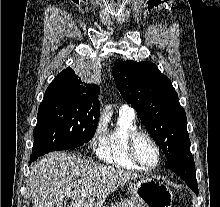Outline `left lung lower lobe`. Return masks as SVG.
<instances>
[{
  "label": "left lung lower lobe",
  "mask_w": 220,
  "mask_h": 207,
  "mask_svg": "<svg viewBox=\"0 0 220 207\" xmlns=\"http://www.w3.org/2000/svg\"><path fill=\"white\" fill-rule=\"evenodd\" d=\"M166 166L175 173L179 174L192 191H194L196 195L198 194L195 164L191 153L185 157L168 159Z\"/></svg>",
  "instance_id": "obj_1"
}]
</instances>
